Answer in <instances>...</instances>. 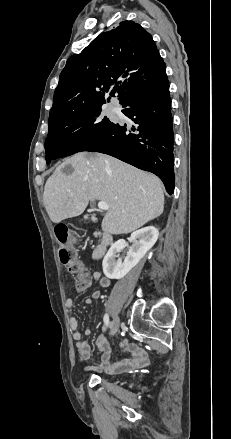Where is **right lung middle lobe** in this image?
I'll return each mask as SVG.
<instances>
[{
  "label": "right lung middle lobe",
  "instance_id": "dd1d6c3e",
  "mask_svg": "<svg viewBox=\"0 0 231 439\" xmlns=\"http://www.w3.org/2000/svg\"><path fill=\"white\" fill-rule=\"evenodd\" d=\"M96 106L48 121V136L45 141L47 164L53 159L85 151L110 131L111 122Z\"/></svg>",
  "mask_w": 231,
  "mask_h": 439
}]
</instances>
